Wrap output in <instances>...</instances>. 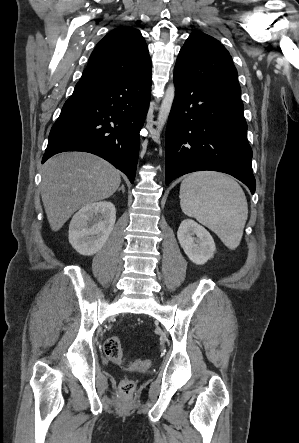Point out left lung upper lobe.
<instances>
[{
  "mask_svg": "<svg viewBox=\"0 0 299 443\" xmlns=\"http://www.w3.org/2000/svg\"><path fill=\"white\" fill-rule=\"evenodd\" d=\"M175 72L241 99L237 70L226 48L215 38L194 31L179 52Z\"/></svg>",
  "mask_w": 299,
  "mask_h": 443,
  "instance_id": "left-lung-upper-lobe-1",
  "label": "left lung upper lobe"
}]
</instances>
